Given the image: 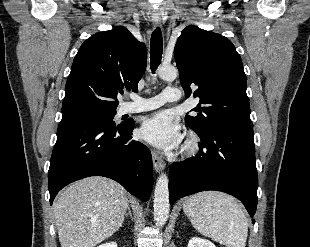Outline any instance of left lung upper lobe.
Segmentation results:
<instances>
[{"instance_id": "1", "label": "left lung upper lobe", "mask_w": 310, "mask_h": 247, "mask_svg": "<svg viewBox=\"0 0 310 247\" xmlns=\"http://www.w3.org/2000/svg\"><path fill=\"white\" fill-rule=\"evenodd\" d=\"M174 57L186 97L197 86L199 104L186 115L185 123L200 137L223 125H250L246 75L240 55L226 37L198 28L186 27L179 36Z\"/></svg>"}]
</instances>
